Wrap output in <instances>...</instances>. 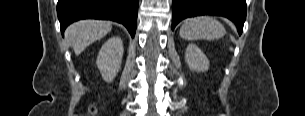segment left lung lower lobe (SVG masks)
<instances>
[{"label": "left lung lower lobe", "mask_w": 305, "mask_h": 116, "mask_svg": "<svg viewBox=\"0 0 305 116\" xmlns=\"http://www.w3.org/2000/svg\"><path fill=\"white\" fill-rule=\"evenodd\" d=\"M207 14L227 17L236 24L241 34L246 19V1L172 0V30L185 18Z\"/></svg>", "instance_id": "0a47b994"}]
</instances>
